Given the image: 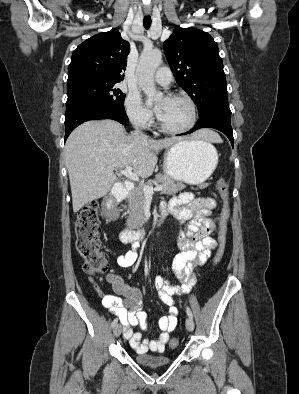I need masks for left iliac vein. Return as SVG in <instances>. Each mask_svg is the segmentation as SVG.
I'll return each instance as SVG.
<instances>
[{
	"mask_svg": "<svg viewBox=\"0 0 299 394\" xmlns=\"http://www.w3.org/2000/svg\"><path fill=\"white\" fill-rule=\"evenodd\" d=\"M185 324L188 331L192 332L194 330V321L192 318L188 317Z\"/></svg>",
	"mask_w": 299,
	"mask_h": 394,
	"instance_id": "4c4485c4",
	"label": "left iliac vein"
}]
</instances>
